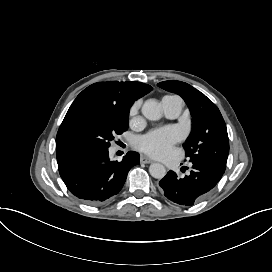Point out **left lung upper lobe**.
Segmentation results:
<instances>
[{
    "label": "left lung upper lobe",
    "instance_id": "obj_1",
    "mask_svg": "<svg viewBox=\"0 0 272 272\" xmlns=\"http://www.w3.org/2000/svg\"><path fill=\"white\" fill-rule=\"evenodd\" d=\"M158 86L180 95L188 105L192 131L183 147L190 161L209 165L224 173L229 153L226 124L217 106L191 85L176 81H163Z\"/></svg>",
    "mask_w": 272,
    "mask_h": 272
}]
</instances>
